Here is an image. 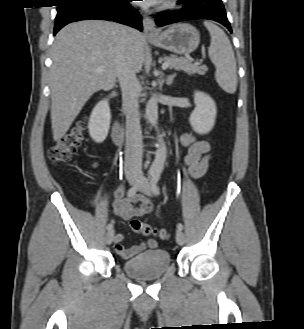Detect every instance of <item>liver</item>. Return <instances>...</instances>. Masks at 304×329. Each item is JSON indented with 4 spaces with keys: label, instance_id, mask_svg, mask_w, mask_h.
Returning a JSON list of instances; mask_svg holds the SVG:
<instances>
[{
    "label": "liver",
    "instance_id": "1",
    "mask_svg": "<svg viewBox=\"0 0 304 329\" xmlns=\"http://www.w3.org/2000/svg\"><path fill=\"white\" fill-rule=\"evenodd\" d=\"M107 21L86 20L61 29L52 45L50 69L51 125L59 141L88 99L115 86L121 53V28ZM135 72L142 69L144 36L130 28ZM102 72H98V69Z\"/></svg>",
    "mask_w": 304,
    "mask_h": 329
}]
</instances>
